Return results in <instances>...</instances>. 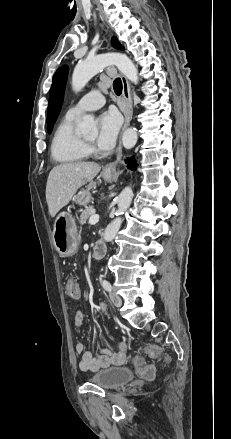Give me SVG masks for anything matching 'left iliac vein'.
I'll use <instances>...</instances> for the list:
<instances>
[{
    "mask_svg": "<svg viewBox=\"0 0 231 439\" xmlns=\"http://www.w3.org/2000/svg\"><path fill=\"white\" fill-rule=\"evenodd\" d=\"M110 300L111 302L116 306V307H120L122 305V299L119 295H117L114 292H110Z\"/></svg>",
    "mask_w": 231,
    "mask_h": 439,
    "instance_id": "4c4485c4",
    "label": "left iliac vein"
}]
</instances>
